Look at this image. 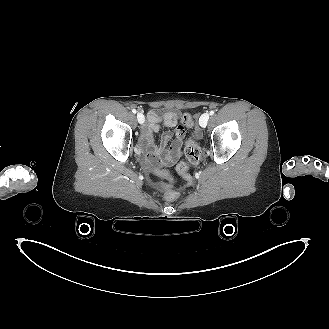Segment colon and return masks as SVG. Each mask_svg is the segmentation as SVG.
I'll list each match as a JSON object with an SVG mask.
<instances>
[{
    "label": "colon",
    "instance_id": "obj_1",
    "mask_svg": "<svg viewBox=\"0 0 329 329\" xmlns=\"http://www.w3.org/2000/svg\"><path fill=\"white\" fill-rule=\"evenodd\" d=\"M194 124H195L194 118L191 114L185 113L182 116L181 126L183 129L184 128L193 129ZM196 136H197L196 131L193 130L190 132L185 147L187 161L180 162L176 167L177 175L181 180V184L184 186H187L192 183L193 178L189 172V168L191 165L196 164L201 157V149L195 140ZM155 175L156 178H159L160 172H155ZM161 175L171 181L177 180L176 177L168 170H164L163 172H161ZM165 178H162V182L165 184V186H167L165 196L176 198V195L174 194L173 191L170 190V185H168V182L165 180Z\"/></svg>",
    "mask_w": 329,
    "mask_h": 329
}]
</instances>
